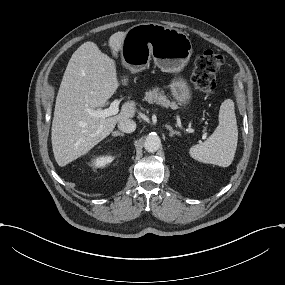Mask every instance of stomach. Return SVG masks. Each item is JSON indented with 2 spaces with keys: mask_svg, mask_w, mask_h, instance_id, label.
Returning <instances> with one entry per match:
<instances>
[{
  "mask_svg": "<svg viewBox=\"0 0 285 285\" xmlns=\"http://www.w3.org/2000/svg\"><path fill=\"white\" fill-rule=\"evenodd\" d=\"M120 54L123 66L132 73L145 69L151 57L163 72H180L189 62L192 43L178 29L152 22L141 23L126 31ZM169 88L179 105L189 104L191 88L184 79L172 80Z\"/></svg>",
  "mask_w": 285,
  "mask_h": 285,
  "instance_id": "1",
  "label": "stomach"
}]
</instances>
